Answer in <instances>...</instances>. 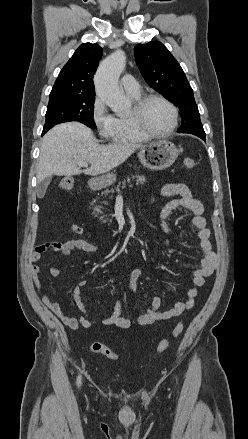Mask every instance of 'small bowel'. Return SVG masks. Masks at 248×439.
I'll return each instance as SVG.
<instances>
[{
	"label": "small bowel",
	"mask_w": 248,
	"mask_h": 439,
	"mask_svg": "<svg viewBox=\"0 0 248 439\" xmlns=\"http://www.w3.org/2000/svg\"><path fill=\"white\" fill-rule=\"evenodd\" d=\"M161 196L175 197L167 202L161 210L159 225L163 233L169 234L170 232L167 218L173 211L182 208L194 214L192 228L197 234L202 257L199 268L192 273V287L188 290L185 300L177 302L173 308L166 311L160 310L161 298L158 296L154 297L151 300L147 311L135 319H129L122 316L121 302L118 301L113 314L101 321V323L106 326L128 329L132 326L151 325L158 321L169 320L180 316L185 311L193 308L195 298L198 295L200 288L204 285L205 278L211 276L217 268V258L212 250L210 240L211 232L207 228V221L203 216L204 206L202 202L194 198L189 188L183 183L166 184L161 190ZM47 250H52L63 257H70L74 256L76 251L96 253L98 247L82 239H73L63 243L44 244L35 248L31 255V261H39ZM142 270L143 268L139 266L131 272L129 285L134 293H138V280L141 277ZM40 271L41 269L38 265H32L30 267L32 282L38 293L41 290V281L39 279ZM49 273L51 276L57 277L60 275L61 269L58 265H52L49 269ZM86 284V280H80L72 290V299L82 312V315L78 317L67 315L61 308L60 303L51 300L48 294L42 296V302L71 329H77L79 327L91 328L96 321L88 317V312L81 293L82 287Z\"/></svg>",
	"instance_id": "obj_1"
}]
</instances>
